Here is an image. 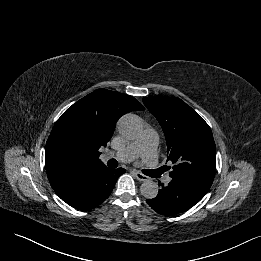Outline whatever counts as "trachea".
Here are the masks:
<instances>
[{
    "instance_id": "1",
    "label": "trachea",
    "mask_w": 261,
    "mask_h": 261,
    "mask_svg": "<svg viewBox=\"0 0 261 261\" xmlns=\"http://www.w3.org/2000/svg\"><path fill=\"white\" fill-rule=\"evenodd\" d=\"M107 164H108V166H110V167H117L118 162H117L115 159H111V160L108 161Z\"/></svg>"
}]
</instances>
